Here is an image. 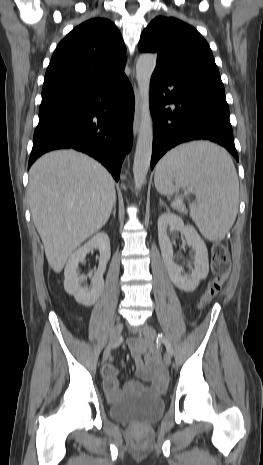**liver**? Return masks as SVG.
<instances>
[{
    "label": "liver",
    "instance_id": "6515ba94",
    "mask_svg": "<svg viewBox=\"0 0 263 465\" xmlns=\"http://www.w3.org/2000/svg\"><path fill=\"white\" fill-rule=\"evenodd\" d=\"M28 197L48 264L56 273L106 224L116 202L110 173L74 150L47 153L32 165Z\"/></svg>",
    "mask_w": 263,
    "mask_h": 465
}]
</instances>
